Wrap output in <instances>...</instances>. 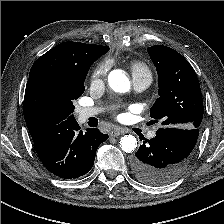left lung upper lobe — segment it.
I'll list each match as a JSON object with an SVG mask.
<instances>
[{"instance_id": "5c2ea615", "label": "left lung upper lobe", "mask_w": 224, "mask_h": 224, "mask_svg": "<svg viewBox=\"0 0 224 224\" xmlns=\"http://www.w3.org/2000/svg\"><path fill=\"white\" fill-rule=\"evenodd\" d=\"M159 75V98L150 116L163 127L199 129L203 100L197 75L189 62L167 46L147 48Z\"/></svg>"}]
</instances>
